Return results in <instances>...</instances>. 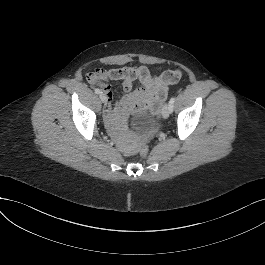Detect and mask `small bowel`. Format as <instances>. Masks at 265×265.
Segmentation results:
<instances>
[{
  "label": "small bowel",
  "instance_id": "small-bowel-1",
  "mask_svg": "<svg viewBox=\"0 0 265 265\" xmlns=\"http://www.w3.org/2000/svg\"><path fill=\"white\" fill-rule=\"evenodd\" d=\"M105 62L121 65V67L102 70V78L90 81L97 84L106 96L103 110L104 121L108 129L113 132L118 130L130 112L158 110L167 97L169 86L181 77L179 70H168L159 76H153L145 65L127 66L123 58ZM109 81L121 82L125 92L115 104H113V92ZM136 81L140 83V86L133 89V83Z\"/></svg>",
  "mask_w": 265,
  "mask_h": 265
}]
</instances>
